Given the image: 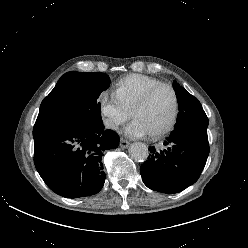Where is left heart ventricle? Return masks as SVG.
<instances>
[{
	"instance_id": "obj_1",
	"label": "left heart ventricle",
	"mask_w": 248,
	"mask_h": 248,
	"mask_svg": "<svg viewBox=\"0 0 248 248\" xmlns=\"http://www.w3.org/2000/svg\"><path fill=\"white\" fill-rule=\"evenodd\" d=\"M174 98L170 89L156 91L149 102L134 113L133 119L139 121L149 134L163 128L171 118Z\"/></svg>"
}]
</instances>
